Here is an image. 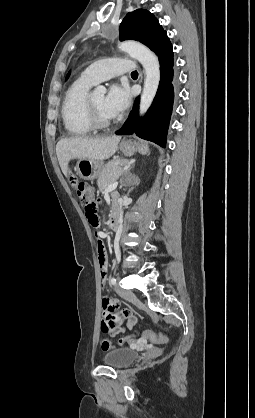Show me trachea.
<instances>
[{"label": "trachea", "instance_id": "1", "mask_svg": "<svg viewBox=\"0 0 255 418\" xmlns=\"http://www.w3.org/2000/svg\"><path fill=\"white\" fill-rule=\"evenodd\" d=\"M131 74L132 75H138V72L137 71H133Z\"/></svg>", "mask_w": 255, "mask_h": 418}]
</instances>
